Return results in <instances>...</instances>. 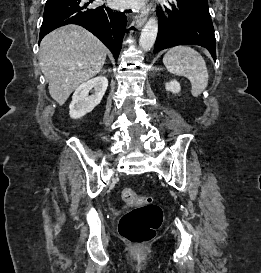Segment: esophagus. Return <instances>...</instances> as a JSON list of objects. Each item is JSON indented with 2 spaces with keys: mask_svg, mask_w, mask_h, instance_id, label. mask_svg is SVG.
<instances>
[{
  "mask_svg": "<svg viewBox=\"0 0 261 273\" xmlns=\"http://www.w3.org/2000/svg\"><path fill=\"white\" fill-rule=\"evenodd\" d=\"M146 22V16L144 15H138L135 17V23L137 27H141Z\"/></svg>",
  "mask_w": 261,
  "mask_h": 273,
  "instance_id": "esophagus-1",
  "label": "esophagus"
}]
</instances>
